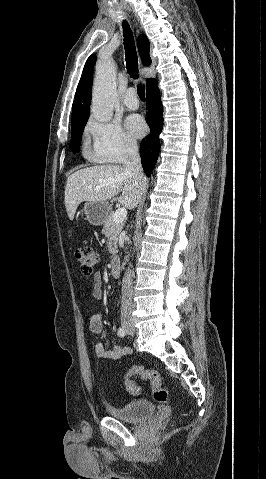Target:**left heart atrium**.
<instances>
[{"mask_svg": "<svg viewBox=\"0 0 266 479\" xmlns=\"http://www.w3.org/2000/svg\"><path fill=\"white\" fill-rule=\"evenodd\" d=\"M126 127L132 136L138 137L144 134L146 124L140 115L133 114L127 117Z\"/></svg>", "mask_w": 266, "mask_h": 479, "instance_id": "39dd6f15", "label": "left heart atrium"}]
</instances>
